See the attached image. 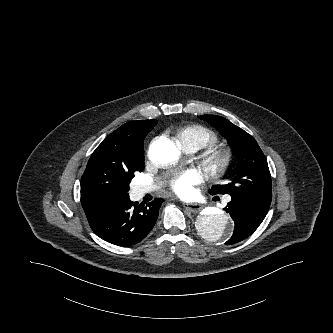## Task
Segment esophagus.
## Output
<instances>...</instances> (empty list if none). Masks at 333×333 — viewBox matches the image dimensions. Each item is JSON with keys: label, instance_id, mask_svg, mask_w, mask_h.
I'll return each mask as SVG.
<instances>
[{"label": "esophagus", "instance_id": "1", "mask_svg": "<svg viewBox=\"0 0 333 333\" xmlns=\"http://www.w3.org/2000/svg\"><path fill=\"white\" fill-rule=\"evenodd\" d=\"M183 207L191 213H199L202 209V206L197 203H183Z\"/></svg>", "mask_w": 333, "mask_h": 333}]
</instances>
